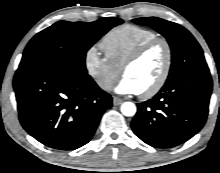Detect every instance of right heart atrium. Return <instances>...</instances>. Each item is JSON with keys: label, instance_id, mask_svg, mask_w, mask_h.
Wrapping results in <instances>:
<instances>
[{"label": "right heart atrium", "instance_id": "d8ad5b80", "mask_svg": "<svg viewBox=\"0 0 220 173\" xmlns=\"http://www.w3.org/2000/svg\"><path fill=\"white\" fill-rule=\"evenodd\" d=\"M84 67L89 77L103 91L111 90L121 74V70L101 56L96 47H90L85 52Z\"/></svg>", "mask_w": 220, "mask_h": 173}]
</instances>
